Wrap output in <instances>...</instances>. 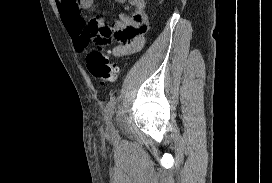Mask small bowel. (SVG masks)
Wrapping results in <instances>:
<instances>
[{"label": "small bowel", "mask_w": 272, "mask_h": 183, "mask_svg": "<svg viewBox=\"0 0 272 183\" xmlns=\"http://www.w3.org/2000/svg\"><path fill=\"white\" fill-rule=\"evenodd\" d=\"M115 1L124 4L125 10L131 14L123 12L112 24H108L101 16L90 19L86 17L85 12L95 6L94 0H56L63 24L72 38L76 51L84 52L91 43L100 39H114V43H122L112 49L113 55L118 58L136 53L143 48L148 28L145 0Z\"/></svg>", "instance_id": "small-bowel-1"}]
</instances>
